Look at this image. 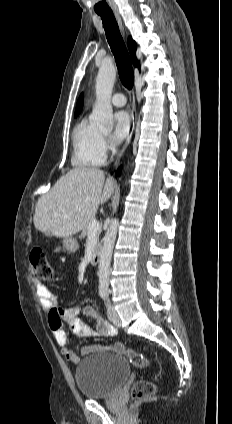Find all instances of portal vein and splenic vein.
Instances as JSON below:
<instances>
[{
	"instance_id": "portal-vein-and-splenic-vein-1",
	"label": "portal vein and splenic vein",
	"mask_w": 232,
	"mask_h": 424,
	"mask_svg": "<svg viewBox=\"0 0 232 424\" xmlns=\"http://www.w3.org/2000/svg\"><path fill=\"white\" fill-rule=\"evenodd\" d=\"M100 229H101L100 223L98 221H96V220H93L91 222L90 227H89V233H92V232L95 233V232H97Z\"/></svg>"
}]
</instances>
